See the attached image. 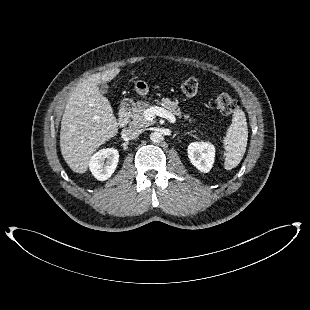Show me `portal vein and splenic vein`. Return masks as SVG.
<instances>
[{
    "mask_svg": "<svg viewBox=\"0 0 310 310\" xmlns=\"http://www.w3.org/2000/svg\"><path fill=\"white\" fill-rule=\"evenodd\" d=\"M155 116L165 118L169 120L171 123H175L176 121V118L172 113L168 112L166 109L159 106L150 107L146 109L144 112V117L147 121H152Z\"/></svg>",
    "mask_w": 310,
    "mask_h": 310,
    "instance_id": "obj_1",
    "label": "portal vein and splenic vein"
}]
</instances>
